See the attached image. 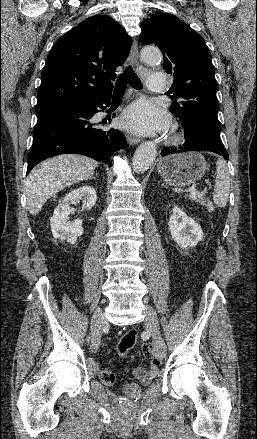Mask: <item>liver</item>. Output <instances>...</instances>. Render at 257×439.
Listing matches in <instances>:
<instances>
[{"mask_svg": "<svg viewBox=\"0 0 257 439\" xmlns=\"http://www.w3.org/2000/svg\"><path fill=\"white\" fill-rule=\"evenodd\" d=\"M98 163L88 157L64 154L48 159L34 168L26 180L27 207L38 214L45 202L62 189L89 179Z\"/></svg>", "mask_w": 257, "mask_h": 439, "instance_id": "1", "label": "liver"}]
</instances>
